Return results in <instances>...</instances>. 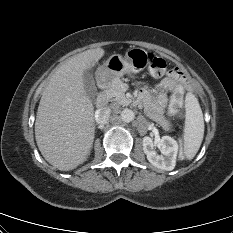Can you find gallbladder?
<instances>
[{"mask_svg": "<svg viewBox=\"0 0 233 233\" xmlns=\"http://www.w3.org/2000/svg\"><path fill=\"white\" fill-rule=\"evenodd\" d=\"M83 80H84V90L91 101H94L97 96V87L95 85V81L93 78V74L89 71H85L83 73Z\"/></svg>", "mask_w": 233, "mask_h": 233, "instance_id": "gallbladder-1", "label": "gallbladder"}]
</instances>
